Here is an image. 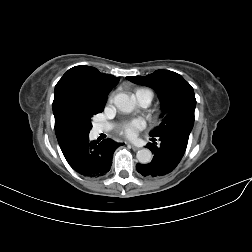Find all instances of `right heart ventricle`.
<instances>
[{
	"mask_svg": "<svg viewBox=\"0 0 252 252\" xmlns=\"http://www.w3.org/2000/svg\"><path fill=\"white\" fill-rule=\"evenodd\" d=\"M135 100L140 97H144L148 101V105L151 103L154 97V92L149 88H138L133 94Z\"/></svg>",
	"mask_w": 252,
	"mask_h": 252,
	"instance_id": "right-heart-ventricle-1",
	"label": "right heart ventricle"
}]
</instances>
